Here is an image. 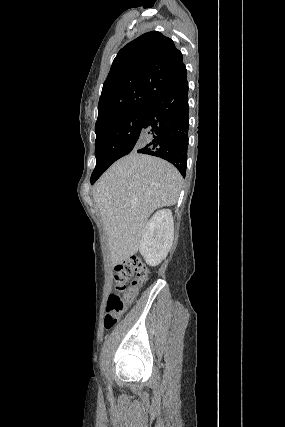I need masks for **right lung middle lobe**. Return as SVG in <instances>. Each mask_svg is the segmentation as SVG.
Listing matches in <instances>:
<instances>
[{
	"label": "right lung middle lobe",
	"instance_id": "1",
	"mask_svg": "<svg viewBox=\"0 0 285 427\" xmlns=\"http://www.w3.org/2000/svg\"><path fill=\"white\" fill-rule=\"evenodd\" d=\"M146 107L117 115L95 127V176L117 159L129 154L140 143Z\"/></svg>",
	"mask_w": 285,
	"mask_h": 427
}]
</instances>
